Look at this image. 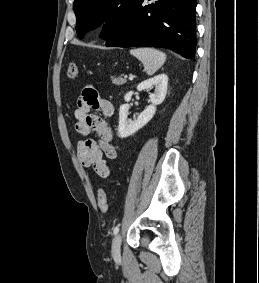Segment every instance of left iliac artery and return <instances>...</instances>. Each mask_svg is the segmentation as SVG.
<instances>
[{
    "mask_svg": "<svg viewBox=\"0 0 259 283\" xmlns=\"http://www.w3.org/2000/svg\"><path fill=\"white\" fill-rule=\"evenodd\" d=\"M119 232V226H116L113 230L114 235H116Z\"/></svg>",
    "mask_w": 259,
    "mask_h": 283,
    "instance_id": "left-iliac-artery-1",
    "label": "left iliac artery"
}]
</instances>
